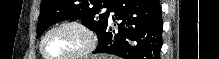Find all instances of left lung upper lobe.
<instances>
[{"label": "left lung upper lobe", "instance_id": "5c2ea615", "mask_svg": "<svg viewBox=\"0 0 219 59\" xmlns=\"http://www.w3.org/2000/svg\"><path fill=\"white\" fill-rule=\"evenodd\" d=\"M114 0H42L37 37L52 24L65 19H80L98 38L108 22ZM106 9V11H104Z\"/></svg>", "mask_w": 219, "mask_h": 59}]
</instances>
